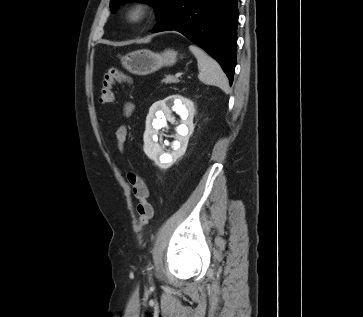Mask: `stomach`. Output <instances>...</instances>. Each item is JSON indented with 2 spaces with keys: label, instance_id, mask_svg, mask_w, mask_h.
Returning a JSON list of instances; mask_svg holds the SVG:
<instances>
[{
  "label": "stomach",
  "instance_id": "stomach-1",
  "mask_svg": "<svg viewBox=\"0 0 363 317\" xmlns=\"http://www.w3.org/2000/svg\"><path fill=\"white\" fill-rule=\"evenodd\" d=\"M177 61V52L171 49L162 53L142 49L128 53L121 59V63L130 73L148 75L161 67L172 66Z\"/></svg>",
  "mask_w": 363,
  "mask_h": 317
}]
</instances>
